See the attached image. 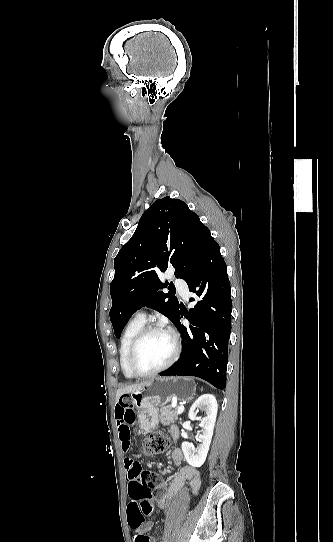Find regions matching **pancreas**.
<instances>
[{
	"label": "pancreas",
	"instance_id": "obj_1",
	"mask_svg": "<svg viewBox=\"0 0 333 542\" xmlns=\"http://www.w3.org/2000/svg\"><path fill=\"white\" fill-rule=\"evenodd\" d=\"M160 424H163V426H170V424H174L176 420H178L177 416V408H171V406H164V408H160Z\"/></svg>",
	"mask_w": 333,
	"mask_h": 542
}]
</instances>
